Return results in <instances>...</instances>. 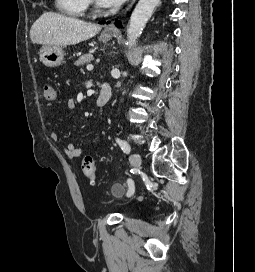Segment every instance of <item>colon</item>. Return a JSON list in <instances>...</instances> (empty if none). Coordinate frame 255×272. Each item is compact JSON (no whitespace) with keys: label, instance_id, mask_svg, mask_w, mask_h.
<instances>
[{"label":"colon","instance_id":"obj_1","mask_svg":"<svg viewBox=\"0 0 255 272\" xmlns=\"http://www.w3.org/2000/svg\"><path fill=\"white\" fill-rule=\"evenodd\" d=\"M43 95L44 98L47 101H55L57 99V91L55 87L50 83H45L43 86ZM82 170L84 175L90 179L93 180L95 177V165L94 160L91 156L84 157L82 161ZM122 191V187L118 185L115 188L116 193H120Z\"/></svg>","mask_w":255,"mask_h":272}]
</instances>
